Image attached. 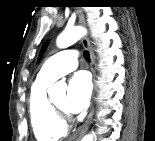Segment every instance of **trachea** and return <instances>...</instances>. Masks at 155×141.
Returning <instances> with one entry per match:
<instances>
[{
	"instance_id": "1",
	"label": "trachea",
	"mask_w": 155,
	"mask_h": 141,
	"mask_svg": "<svg viewBox=\"0 0 155 141\" xmlns=\"http://www.w3.org/2000/svg\"><path fill=\"white\" fill-rule=\"evenodd\" d=\"M84 58H85L86 61H90V54H89L88 51L84 52Z\"/></svg>"
}]
</instances>
